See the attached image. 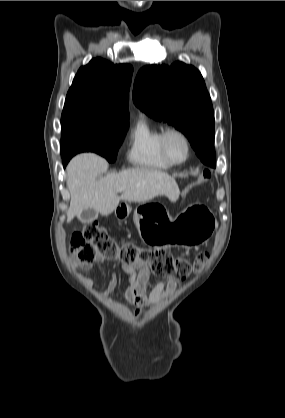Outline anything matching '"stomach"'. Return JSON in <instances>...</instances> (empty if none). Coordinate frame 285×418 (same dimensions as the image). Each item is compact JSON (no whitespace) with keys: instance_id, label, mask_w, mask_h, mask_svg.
I'll return each mask as SVG.
<instances>
[{"instance_id":"stomach-1","label":"stomach","mask_w":285,"mask_h":418,"mask_svg":"<svg viewBox=\"0 0 285 418\" xmlns=\"http://www.w3.org/2000/svg\"><path fill=\"white\" fill-rule=\"evenodd\" d=\"M146 205L138 207L134 213V223L143 240L152 243L161 236H167L172 244L191 246L206 242L213 234L216 221L209 209L202 205H192L168 223L155 219L146 211Z\"/></svg>"}]
</instances>
